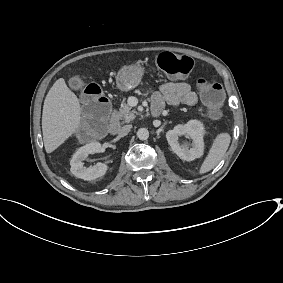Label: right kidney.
<instances>
[{"label":"right kidney","instance_id":"obj_1","mask_svg":"<svg viewBox=\"0 0 283 283\" xmlns=\"http://www.w3.org/2000/svg\"><path fill=\"white\" fill-rule=\"evenodd\" d=\"M101 152V144L99 142H92L80 147L72 156L70 161L71 173L78 178L90 181L102 177L107 171V165L104 163H97L91 167H84L83 161L89 154Z\"/></svg>","mask_w":283,"mask_h":283}]
</instances>
